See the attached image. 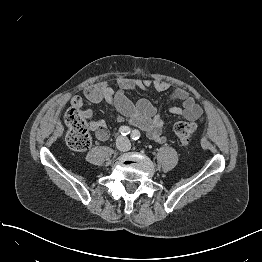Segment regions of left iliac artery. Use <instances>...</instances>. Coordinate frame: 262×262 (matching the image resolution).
Returning <instances> with one entry per match:
<instances>
[{
    "mask_svg": "<svg viewBox=\"0 0 262 262\" xmlns=\"http://www.w3.org/2000/svg\"><path fill=\"white\" fill-rule=\"evenodd\" d=\"M140 136H141V134H140V132H139V130H133L132 131V133H131V138L133 139V140H139V138H140Z\"/></svg>",
    "mask_w": 262,
    "mask_h": 262,
    "instance_id": "44dca946",
    "label": "left iliac artery"
}]
</instances>
